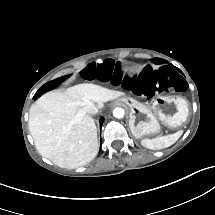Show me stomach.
Here are the masks:
<instances>
[{
	"label": "stomach",
	"mask_w": 215,
	"mask_h": 215,
	"mask_svg": "<svg viewBox=\"0 0 215 215\" xmlns=\"http://www.w3.org/2000/svg\"><path fill=\"white\" fill-rule=\"evenodd\" d=\"M118 102L129 108V127L138 139L157 135L162 128L176 130L180 134L189 116L187 101L176 95L158 96L151 106L125 95Z\"/></svg>",
	"instance_id": "obj_1"
}]
</instances>
